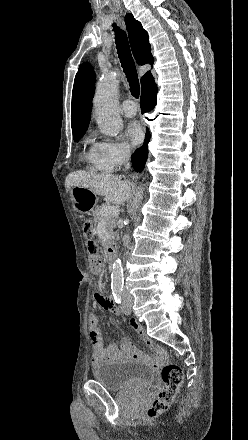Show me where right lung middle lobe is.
Listing matches in <instances>:
<instances>
[{
    "mask_svg": "<svg viewBox=\"0 0 248 440\" xmlns=\"http://www.w3.org/2000/svg\"><path fill=\"white\" fill-rule=\"evenodd\" d=\"M85 132H86V130L73 133V139H74V141L78 142V141L83 137V135L85 134Z\"/></svg>",
    "mask_w": 248,
    "mask_h": 440,
    "instance_id": "right-lung-middle-lobe-1",
    "label": "right lung middle lobe"
}]
</instances>
